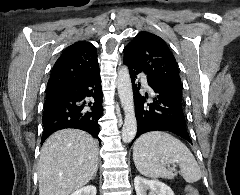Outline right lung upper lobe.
<instances>
[{
    "label": "right lung upper lobe",
    "instance_id": "1",
    "mask_svg": "<svg viewBox=\"0 0 240 195\" xmlns=\"http://www.w3.org/2000/svg\"><path fill=\"white\" fill-rule=\"evenodd\" d=\"M99 75L96 48L80 41L67 47L54 64L47 88L82 83Z\"/></svg>",
    "mask_w": 240,
    "mask_h": 195
}]
</instances>
